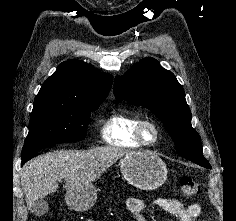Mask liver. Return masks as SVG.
Segmentation results:
<instances>
[{"label": "liver", "instance_id": "6515ba94", "mask_svg": "<svg viewBox=\"0 0 236 221\" xmlns=\"http://www.w3.org/2000/svg\"><path fill=\"white\" fill-rule=\"evenodd\" d=\"M131 153L116 146L96 147L90 150H60L36 157L23 166L21 186L28 209L58 189L57 181L65 179V188L77 190L91 185L120 157Z\"/></svg>", "mask_w": 236, "mask_h": 221}]
</instances>
